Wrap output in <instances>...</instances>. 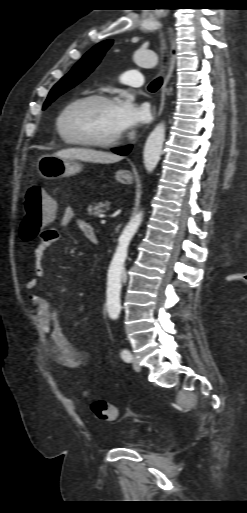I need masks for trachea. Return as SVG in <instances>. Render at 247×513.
I'll use <instances>...</instances> for the list:
<instances>
[{"label": "trachea", "instance_id": "trachea-1", "mask_svg": "<svg viewBox=\"0 0 247 513\" xmlns=\"http://www.w3.org/2000/svg\"><path fill=\"white\" fill-rule=\"evenodd\" d=\"M161 85H162V78H157L153 82H151V84L148 86V90L150 92H155L161 87Z\"/></svg>", "mask_w": 247, "mask_h": 513}]
</instances>
